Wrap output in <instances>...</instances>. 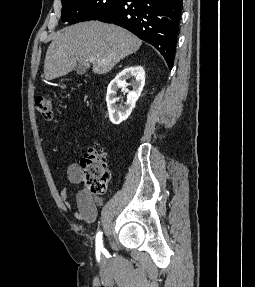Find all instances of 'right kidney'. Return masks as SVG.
I'll return each instance as SVG.
<instances>
[{
  "mask_svg": "<svg viewBox=\"0 0 255 287\" xmlns=\"http://www.w3.org/2000/svg\"><path fill=\"white\" fill-rule=\"evenodd\" d=\"M131 78H135V82L132 84L133 90L130 92V90L126 88V80H131ZM144 84L145 70H143L142 66H127V68H124V70H122L120 74H117L116 78L110 82L107 88L106 102L110 122H112V124H121V122L127 120L133 108H135V104L144 88ZM119 88H122L123 92L127 94L125 106H116L115 104V102H117L116 94Z\"/></svg>",
  "mask_w": 255,
  "mask_h": 287,
  "instance_id": "1",
  "label": "right kidney"
}]
</instances>
